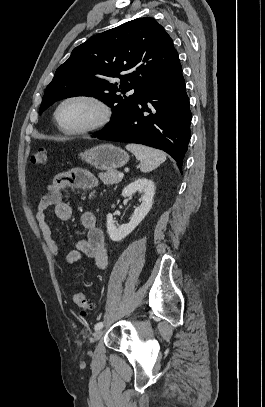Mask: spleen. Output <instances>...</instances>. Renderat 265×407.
<instances>
[{"mask_svg":"<svg viewBox=\"0 0 265 407\" xmlns=\"http://www.w3.org/2000/svg\"><path fill=\"white\" fill-rule=\"evenodd\" d=\"M126 149L140 161V169L144 173L154 170L166 160L165 153L144 145L127 144Z\"/></svg>","mask_w":265,"mask_h":407,"instance_id":"1","label":"spleen"}]
</instances>
